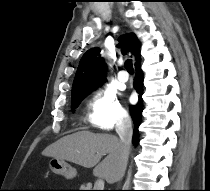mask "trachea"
<instances>
[{
	"label": "trachea",
	"mask_w": 210,
	"mask_h": 191,
	"mask_svg": "<svg viewBox=\"0 0 210 191\" xmlns=\"http://www.w3.org/2000/svg\"><path fill=\"white\" fill-rule=\"evenodd\" d=\"M125 68L128 72H134L133 64H132V59H127L125 61Z\"/></svg>",
	"instance_id": "obj_1"
}]
</instances>
